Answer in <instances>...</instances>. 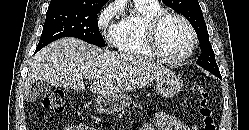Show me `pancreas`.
<instances>
[{
	"label": "pancreas",
	"mask_w": 249,
	"mask_h": 130,
	"mask_svg": "<svg viewBox=\"0 0 249 130\" xmlns=\"http://www.w3.org/2000/svg\"><path fill=\"white\" fill-rule=\"evenodd\" d=\"M137 105L136 104H133V107H136ZM138 107L140 108V109H142V106L141 105H138Z\"/></svg>",
	"instance_id": "obj_1"
}]
</instances>
